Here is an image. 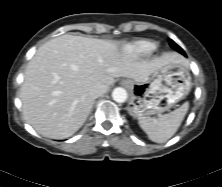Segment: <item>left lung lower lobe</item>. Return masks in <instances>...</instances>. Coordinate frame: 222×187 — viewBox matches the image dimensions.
Here are the masks:
<instances>
[{
    "instance_id": "left-lung-lower-lobe-1",
    "label": "left lung lower lobe",
    "mask_w": 222,
    "mask_h": 187,
    "mask_svg": "<svg viewBox=\"0 0 222 187\" xmlns=\"http://www.w3.org/2000/svg\"><path fill=\"white\" fill-rule=\"evenodd\" d=\"M182 54H183L184 56H186V54H185L184 52H183Z\"/></svg>"
}]
</instances>
